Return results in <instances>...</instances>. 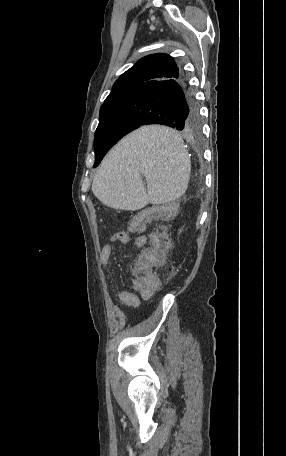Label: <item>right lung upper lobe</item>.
<instances>
[{
	"label": "right lung upper lobe",
	"instance_id": "obj_1",
	"mask_svg": "<svg viewBox=\"0 0 286 456\" xmlns=\"http://www.w3.org/2000/svg\"><path fill=\"white\" fill-rule=\"evenodd\" d=\"M174 59L166 54H152L140 59L114 83L105 103L123 98L153 83L179 77Z\"/></svg>",
	"mask_w": 286,
	"mask_h": 456
}]
</instances>
